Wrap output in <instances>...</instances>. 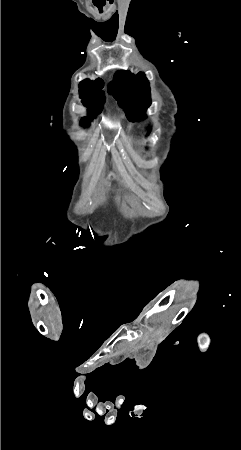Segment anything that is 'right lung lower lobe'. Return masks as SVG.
Segmentation results:
<instances>
[{
  "label": "right lung lower lobe",
  "mask_w": 241,
  "mask_h": 450,
  "mask_svg": "<svg viewBox=\"0 0 241 450\" xmlns=\"http://www.w3.org/2000/svg\"><path fill=\"white\" fill-rule=\"evenodd\" d=\"M91 119V116H89L88 118H83L81 123L85 126H87L89 124V121Z\"/></svg>",
  "instance_id": "obj_1"
}]
</instances>
